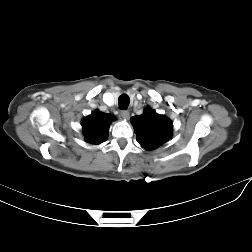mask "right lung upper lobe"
<instances>
[{
	"instance_id": "obj_1",
	"label": "right lung upper lobe",
	"mask_w": 252,
	"mask_h": 252,
	"mask_svg": "<svg viewBox=\"0 0 252 252\" xmlns=\"http://www.w3.org/2000/svg\"><path fill=\"white\" fill-rule=\"evenodd\" d=\"M115 118L111 114H106L95 110L88 117L82 120V128L86 141L91 144H100L106 141L108 128Z\"/></svg>"
}]
</instances>
